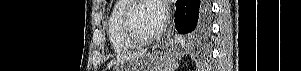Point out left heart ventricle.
Returning a JSON list of instances; mask_svg holds the SVG:
<instances>
[{"mask_svg": "<svg viewBox=\"0 0 301 71\" xmlns=\"http://www.w3.org/2000/svg\"><path fill=\"white\" fill-rule=\"evenodd\" d=\"M132 25L135 31L143 37L155 34L161 27L157 4L150 1H144L132 12Z\"/></svg>", "mask_w": 301, "mask_h": 71, "instance_id": "1", "label": "left heart ventricle"}]
</instances>
